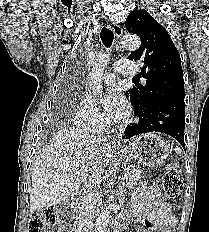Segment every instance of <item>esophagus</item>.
Listing matches in <instances>:
<instances>
[{
  "label": "esophagus",
  "mask_w": 209,
  "mask_h": 232,
  "mask_svg": "<svg viewBox=\"0 0 209 232\" xmlns=\"http://www.w3.org/2000/svg\"><path fill=\"white\" fill-rule=\"evenodd\" d=\"M108 27L114 32L117 38H120L122 36L123 31H122V28L118 24L114 22H109Z\"/></svg>",
  "instance_id": "esophagus-1"
}]
</instances>
